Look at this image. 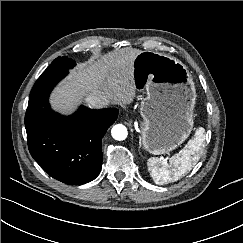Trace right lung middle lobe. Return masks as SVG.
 Returning a JSON list of instances; mask_svg holds the SVG:
<instances>
[{
    "label": "right lung middle lobe",
    "mask_w": 243,
    "mask_h": 243,
    "mask_svg": "<svg viewBox=\"0 0 243 243\" xmlns=\"http://www.w3.org/2000/svg\"><path fill=\"white\" fill-rule=\"evenodd\" d=\"M75 66V62L65 56L56 58L46 71L68 70Z\"/></svg>",
    "instance_id": "1"
}]
</instances>
